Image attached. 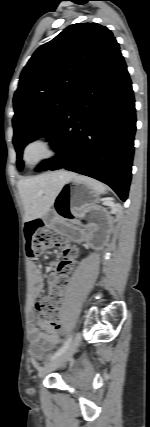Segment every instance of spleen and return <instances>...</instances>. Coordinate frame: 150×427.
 Masks as SVG:
<instances>
[{
	"label": "spleen",
	"instance_id": "1",
	"mask_svg": "<svg viewBox=\"0 0 150 427\" xmlns=\"http://www.w3.org/2000/svg\"><path fill=\"white\" fill-rule=\"evenodd\" d=\"M76 179L94 188L98 194H105L107 192L106 187L102 183L98 182L97 180L84 177V176H76Z\"/></svg>",
	"mask_w": 150,
	"mask_h": 427
}]
</instances>
